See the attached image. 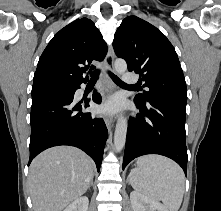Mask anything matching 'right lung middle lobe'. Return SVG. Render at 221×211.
Listing matches in <instances>:
<instances>
[{"label": "right lung middle lobe", "mask_w": 221, "mask_h": 211, "mask_svg": "<svg viewBox=\"0 0 221 211\" xmlns=\"http://www.w3.org/2000/svg\"><path fill=\"white\" fill-rule=\"evenodd\" d=\"M63 90L64 88H53V89H43V90L32 91V101L58 93V92H63Z\"/></svg>", "instance_id": "dd1d6c3e"}]
</instances>
